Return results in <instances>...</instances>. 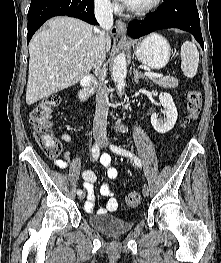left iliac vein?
<instances>
[{"instance_id":"obj_1","label":"left iliac vein","mask_w":221,"mask_h":263,"mask_svg":"<svg viewBox=\"0 0 221 263\" xmlns=\"http://www.w3.org/2000/svg\"><path fill=\"white\" fill-rule=\"evenodd\" d=\"M101 147H103V148L108 147V141L104 138L101 141ZM142 193L145 197H147L149 195V188H148V185L146 183L143 185Z\"/></svg>"}]
</instances>
